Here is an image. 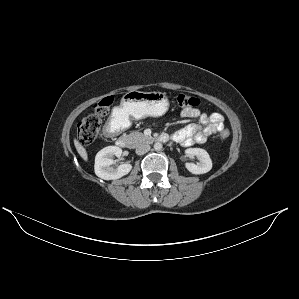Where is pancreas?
I'll use <instances>...</instances> for the list:
<instances>
[{
	"label": "pancreas",
	"instance_id": "pancreas-1",
	"mask_svg": "<svg viewBox=\"0 0 299 299\" xmlns=\"http://www.w3.org/2000/svg\"><path fill=\"white\" fill-rule=\"evenodd\" d=\"M128 141L132 145H138L139 143L151 140V137L144 135L141 132H132L126 136Z\"/></svg>",
	"mask_w": 299,
	"mask_h": 299
}]
</instances>
